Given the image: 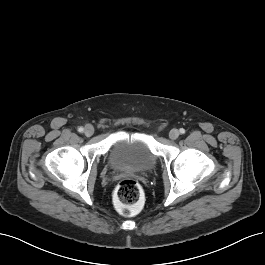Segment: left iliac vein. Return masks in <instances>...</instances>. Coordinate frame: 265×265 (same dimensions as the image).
Wrapping results in <instances>:
<instances>
[{
	"mask_svg": "<svg viewBox=\"0 0 265 265\" xmlns=\"http://www.w3.org/2000/svg\"><path fill=\"white\" fill-rule=\"evenodd\" d=\"M180 133L177 129H172L170 132H169V138L172 139V140H176L178 137H179Z\"/></svg>",
	"mask_w": 265,
	"mask_h": 265,
	"instance_id": "obj_1",
	"label": "left iliac vein"
}]
</instances>
